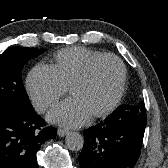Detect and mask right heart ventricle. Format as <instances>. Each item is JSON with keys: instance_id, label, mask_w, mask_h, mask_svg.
Listing matches in <instances>:
<instances>
[{"instance_id": "right-heart-ventricle-1", "label": "right heart ventricle", "mask_w": 168, "mask_h": 168, "mask_svg": "<svg viewBox=\"0 0 168 168\" xmlns=\"http://www.w3.org/2000/svg\"><path fill=\"white\" fill-rule=\"evenodd\" d=\"M102 54L85 47H70L55 54L53 66L62 82L68 87L92 59Z\"/></svg>"}]
</instances>
